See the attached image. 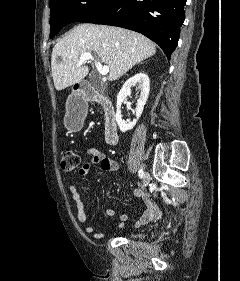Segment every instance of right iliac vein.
Here are the masks:
<instances>
[{
    "label": "right iliac vein",
    "mask_w": 240,
    "mask_h": 281,
    "mask_svg": "<svg viewBox=\"0 0 240 281\" xmlns=\"http://www.w3.org/2000/svg\"><path fill=\"white\" fill-rule=\"evenodd\" d=\"M150 182V175L146 172L143 176V187H146Z\"/></svg>",
    "instance_id": "obj_1"
}]
</instances>
